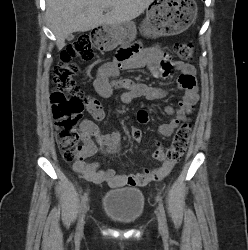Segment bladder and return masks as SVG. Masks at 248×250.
<instances>
[{
  "label": "bladder",
  "instance_id": "31cf9c89",
  "mask_svg": "<svg viewBox=\"0 0 248 250\" xmlns=\"http://www.w3.org/2000/svg\"><path fill=\"white\" fill-rule=\"evenodd\" d=\"M144 210V194L138 188L124 187L109 190L102 199V211L122 225L135 223Z\"/></svg>",
  "mask_w": 248,
  "mask_h": 250
}]
</instances>
